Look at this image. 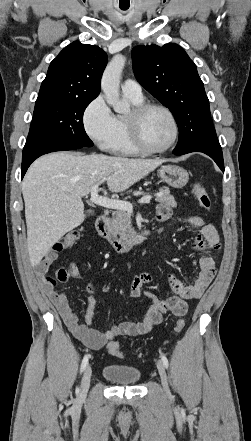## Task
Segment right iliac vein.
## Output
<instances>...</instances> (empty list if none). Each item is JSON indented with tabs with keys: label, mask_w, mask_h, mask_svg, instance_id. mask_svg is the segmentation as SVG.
Returning <instances> with one entry per match:
<instances>
[{
	"label": "right iliac vein",
	"mask_w": 251,
	"mask_h": 441,
	"mask_svg": "<svg viewBox=\"0 0 251 441\" xmlns=\"http://www.w3.org/2000/svg\"><path fill=\"white\" fill-rule=\"evenodd\" d=\"M91 374H92V369H91V366L88 365L84 371V374H83V377L81 380V385H80V390H79V395H78L79 400H83L88 393L89 386H90V380H91Z\"/></svg>",
	"instance_id": "right-iliac-vein-1"
}]
</instances>
